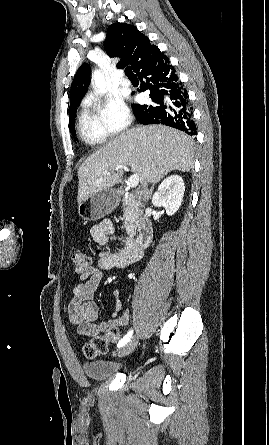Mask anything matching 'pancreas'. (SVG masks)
Returning <instances> with one entry per match:
<instances>
[{
    "mask_svg": "<svg viewBox=\"0 0 269 445\" xmlns=\"http://www.w3.org/2000/svg\"><path fill=\"white\" fill-rule=\"evenodd\" d=\"M122 202L124 207V227L126 229V233L130 237H133L139 224V220L142 217V211L140 209L139 202L136 201L133 196L129 195L124 197Z\"/></svg>",
    "mask_w": 269,
    "mask_h": 445,
    "instance_id": "1",
    "label": "pancreas"
}]
</instances>
